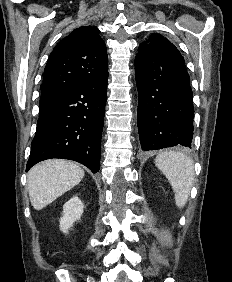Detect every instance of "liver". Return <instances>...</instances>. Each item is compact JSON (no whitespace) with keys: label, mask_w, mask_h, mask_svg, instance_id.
<instances>
[{"label":"liver","mask_w":232,"mask_h":282,"mask_svg":"<svg viewBox=\"0 0 232 282\" xmlns=\"http://www.w3.org/2000/svg\"><path fill=\"white\" fill-rule=\"evenodd\" d=\"M84 170L77 164L50 159L36 164L28 173V193L34 209L41 210L80 183Z\"/></svg>","instance_id":"obj_1"}]
</instances>
